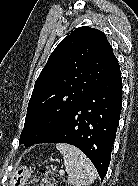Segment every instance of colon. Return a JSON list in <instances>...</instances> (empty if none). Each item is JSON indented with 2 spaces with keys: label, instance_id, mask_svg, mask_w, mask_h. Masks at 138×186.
<instances>
[{
  "label": "colon",
  "instance_id": "1",
  "mask_svg": "<svg viewBox=\"0 0 138 186\" xmlns=\"http://www.w3.org/2000/svg\"><path fill=\"white\" fill-rule=\"evenodd\" d=\"M29 186H67V183L64 178L54 172L40 170Z\"/></svg>",
  "mask_w": 138,
  "mask_h": 186
}]
</instances>
